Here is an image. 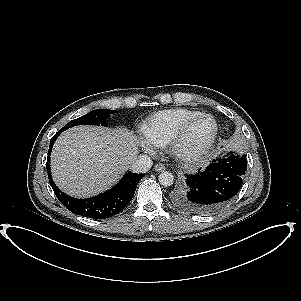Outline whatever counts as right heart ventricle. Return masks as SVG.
<instances>
[{"mask_svg": "<svg viewBox=\"0 0 301 301\" xmlns=\"http://www.w3.org/2000/svg\"><path fill=\"white\" fill-rule=\"evenodd\" d=\"M198 114L200 112L186 108L158 111L147 118L142 133L153 146L165 148L179 128Z\"/></svg>", "mask_w": 301, "mask_h": 301, "instance_id": "1", "label": "right heart ventricle"}]
</instances>
